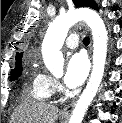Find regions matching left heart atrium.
Masks as SVG:
<instances>
[{
	"instance_id": "39dd6f15",
	"label": "left heart atrium",
	"mask_w": 122,
	"mask_h": 123,
	"mask_svg": "<svg viewBox=\"0 0 122 123\" xmlns=\"http://www.w3.org/2000/svg\"><path fill=\"white\" fill-rule=\"evenodd\" d=\"M89 71V64L83 53H75L67 61L64 83L68 88H77L83 84Z\"/></svg>"
}]
</instances>
